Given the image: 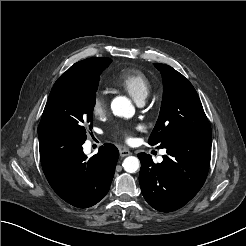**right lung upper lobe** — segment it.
<instances>
[{"mask_svg":"<svg viewBox=\"0 0 246 246\" xmlns=\"http://www.w3.org/2000/svg\"><path fill=\"white\" fill-rule=\"evenodd\" d=\"M88 62H89V60L85 59V60H82V61L75 63L60 78H65V77L71 76V75L81 71Z\"/></svg>","mask_w":246,"mask_h":246,"instance_id":"1","label":"right lung upper lobe"}]
</instances>
